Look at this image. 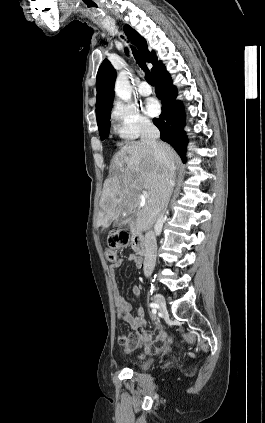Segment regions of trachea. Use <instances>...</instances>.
<instances>
[{"label":"trachea","instance_id":"3493384b","mask_svg":"<svg viewBox=\"0 0 265 423\" xmlns=\"http://www.w3.org/2000/svg\"><path fill=\"white\" fill-rule=\"evenodd\" d=\"M133 55L138 63V65L141 67V69L144 70L145 72V79L146 81L150 84V85H154V81L151 77L150 71L148 70L144 57L142 56V54L136 50L135 48H133Z\"/></svg>","mask_w":265,"mask_h":423}]
</instances>
